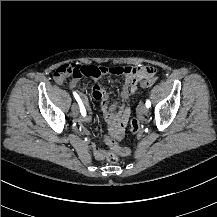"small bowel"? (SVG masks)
Here are the masks:
<instances>
[{
  "mask_svg": "<svg viewBox=\"0 0 217 217\" xmlns=\"http://www.w3.org/2000/svg\"><path fill=\"white\" fill-rule=\"evenodd\" d=\"M145 77V75H127L120 92L121 98L123 100L128 99L130 94L134 93L137 90L138 82H141L142 86H147ZM57 82L62 84L65 82V80L59 79ZM76 83V79H72L70 81V84L72 86H75ZM91 96L94 100L100 102V104L104 107L107 122L109 123V132L113 134L114 141L117 142V140L123 136V132L129 122L131 115L130 106L128 104H123L120 107V110L116 112L114 107H109L107 105V92L97 84L92 87ZM90 119L91 114L88 113L85 117L79 116L77 118V122L79 124H82L84 121H88ZM91 150L95 159L102 160L105 158V153L107 150L102 149L97 142L91 143Z\"/></svg>",
  "mask_w": 217,
  "mask_h": 217,
  "instance_id": "obj_1",
  "label": "small bowel"
}]
</instances>
